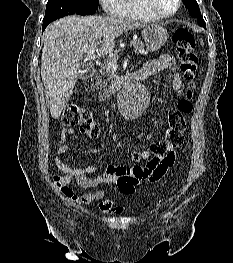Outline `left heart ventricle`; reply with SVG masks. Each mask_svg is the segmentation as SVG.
<instances>
[{
    "label": "left heart ventricle",
    "instance_id": "left-heart-ventricle-1",
    "mask_svg": "<svg viewBox=\"0 0 233 263\" xmlns=\"http://www.w3.org/2000/svg\"><path fill=\"white\" fill-rule=\"evenodd\" d=\"M157 7L166 13L173 11L176 7V0H155Z\"/></svg>",
    "mask_w": 233,
    "mask_h": 263
}]
</instances>
